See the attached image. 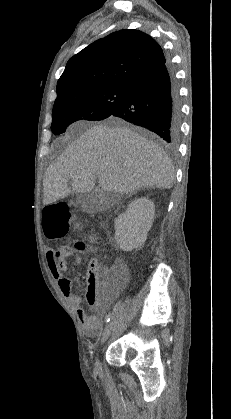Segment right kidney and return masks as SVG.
<instances>
[{"mask_svg": "<svg viewBox=\"0 0 231 419\" xmlns=\"http://www.w3.org/2000/svg\"><path fill=\"white\" fill-rule=\"evenodd\" d=\"M155 214L154 203L147 198L132 201L126 211L115 219V239L123 251H132L144 244Z\"/></svg>", "mask_w": 231, "mask_h": 419, "instance_id": "right-kidney-1", "label": "right kidney"}]
</instances>
